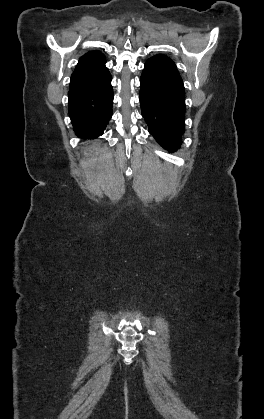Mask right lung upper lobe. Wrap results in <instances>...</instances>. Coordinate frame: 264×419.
Instances as JSON below:
<instances>
[{"mask_svg":"<svg viewBox=\"0 0 264 419\" xmlns=\"http://www.w3.org/2000/svg\"><path fill=\"white\" fill-rule=\"evenodd\" d=\"M105 56L99 51H91L82 56L71 76L70 85L91 84L101 79L108 69Z\"/></svg>","mask_w":264,"mask_h":419,"instance_id":"right-lung-upper-lobe-1","label":"right lung upper lobe"}]
</instances>
